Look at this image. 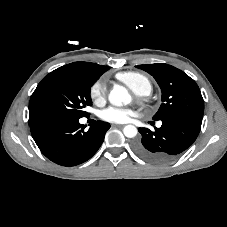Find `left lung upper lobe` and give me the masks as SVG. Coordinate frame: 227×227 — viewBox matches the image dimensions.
<instances>
[{
    "instance_id": "1",
    "label": "left lung upper lobe",
    "mask_w": 227,
    "mask_h": 227,
    "mask_svg": "<svg viewBox=\"0 0 227 227\" xmlns=\"http://www.w3.org/2000/svg\"><path fill=\"white\" fill-rule=\"evenodd\" d=\"M136 67L152 75L162 91V104L153 120L177 115L203 117L204 101L200 89L183 71L164 63Z\"/></svg>"
}]
</instances>
